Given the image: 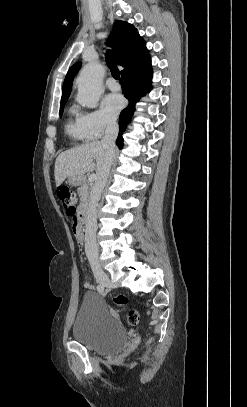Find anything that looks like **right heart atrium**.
I'll return each mask as SVG.
<instances>
[{"label": "right heart atrium", "mask_w": 247, "mask_h": 407, "mask_svg": "<svg viewBox=\"0 0 247 407\" xmlns=\"http://www.w3.org/2000/svg\"><path fill=\"white\" fill-rule=\"evenodd\" d=\"M81 121L89 140L99 138L115 126V120L100 109L81 113Z\"/></svg>", "instance_id": "right-heart-atrium-1"}]
</instances>
